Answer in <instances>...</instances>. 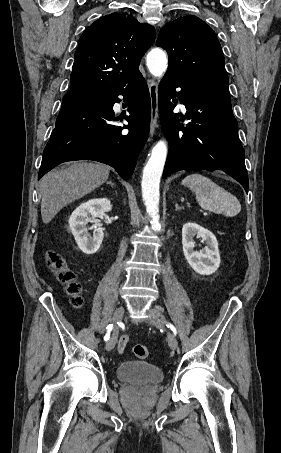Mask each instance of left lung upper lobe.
I'll use <instances>...</instances> for the list:
<instances>
[{"mask_svg": "<svg viewBox=\"0 0 281 453\" xmlns=\"http://www.w3.org/2000/svg\"><path fill=\"white\" fill-rule=\"evenodd\" d=\"M156 45L169 56L167 74L194 88L228 89L224 56L214 31L194 15L181 16L160 31Z\"/></svg>", "mask_w": 281, "mask_h": 453, "instance_id": "1", "label": "left lung upper lobe"}]
</instances>
